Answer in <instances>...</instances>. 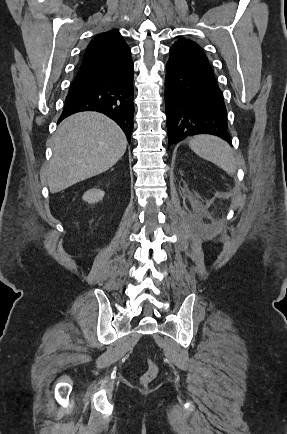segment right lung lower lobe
<instances>
[{"mask_svg": "<svg viewBox=\"0 0 287 434\" xmlns=\"http://www.w3.org/2000/svg\"><path fill=\"white\" fill-rule=\"evenodd\" d=\"M133 61L131 53L81 66L66 97L59 121L80 111H98L113 119L130 142L133 130Z\"/></svg>", "mask_w": 287, "mask_h": 434, "instance_id": "1", "label": "right lung lower lobe"}]
</instances>
